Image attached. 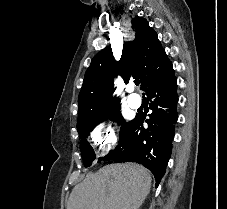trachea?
Wrapping results in <instances>:
<instances>
[{
  "instance_id": "3493384b",
  "label": "trachea",
  "mask_w": 227,
  "mask_h": 209,
  "mask_svg": "<svg viewBox=\"0 0 227 209\" xmlns=\"http://www.w3.org/2000/svg\"><path fill=\"white\" fill-rule=\"evenodd\" d=\"M134 83H135V85H139L140 84V80L139 79H135Z\"/></svg>"
}]
</instances>
